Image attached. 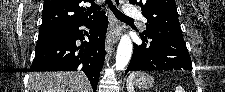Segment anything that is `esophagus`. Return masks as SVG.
Returning a JSON list of instances; mask_svg holds the SVG:
<instances>
[{"instance_id":"34e87169","label":"esophagus","mask_w":225,"mask_h":92,"mask_svg":"<svg viewBox=\"0 0 225 92\" xmlns=\"http://www.w3.org/2000/svg\"><path fill=\"white\" fill-rule=\"evenodd\" d=\"M113 2L116 6L121 5V0H113ZM115 25H116L115 18L113 16H110L109 29H108V32L106 35V44H105L106 50L112 48L117 41L116 36L113 35V30H114Z\"/></svg>"}]
</instances>
